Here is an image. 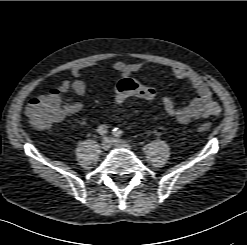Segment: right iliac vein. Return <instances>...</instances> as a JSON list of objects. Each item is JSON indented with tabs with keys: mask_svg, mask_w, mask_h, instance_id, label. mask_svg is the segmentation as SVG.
Listing matches in <instances>:
<instances>
[{
	"mask_svg": "<svg viewBox=\"0 0 247 245\" xmlns=\"http://www.w3.org/2000/svg\"><path fill=\"white\" fill-rule=\"evenodd\" d=\"M111 144H112V140L108 137H105L101 142V149L103 151H108L111 147Z\"/></svg>",
	"mask_w": 247,
	"mask_h": 245,
	"instance_id": "obj_1",
	"label": "right iliac vein"
}]
</instances>
